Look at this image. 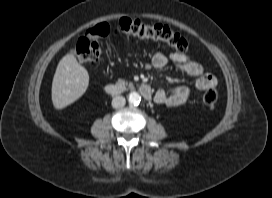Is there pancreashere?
Here are the masks:
<instances>
[{
    "label": "pancreas",
    "instance_id": "1",
    "mask_svg": "<svg viewBox=\"0 0 272 198\" xmlns=\"http://www.w3.org/2000/svg\"><path fill=\"white\" fill-rule=\"evenodd\" d=\"M117 85H121V86H128L130 89L134 88V85L132 82H127L124 79H118V81L116 82Z\"/></svg>",
    "mask_w": 272,
    "mask_h": 198
}]
</instances>
